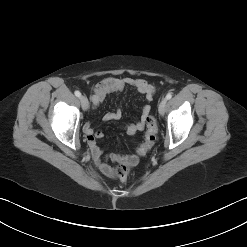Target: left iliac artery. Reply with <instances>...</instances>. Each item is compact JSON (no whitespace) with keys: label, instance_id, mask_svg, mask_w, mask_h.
I'll use <instances>...</instances> for the list:
<instances>
[{"label":"left iliac artery","instance_id":"obj_1","mask_svg":"<svg viewBox=\"0 0 247 247\" xmlns=\"http://www.w3.org/2000/svg\"><path fill=\"white\" fill-rule=\"evenodd\" d=\"M171 98H172V94H171V93H168V94L166 95V99L169 100V99H171Z\"/></svg>","mask_w":247,"mask_h":247}]
</instances>
